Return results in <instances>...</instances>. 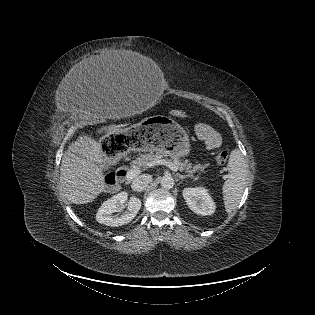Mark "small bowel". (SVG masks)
<instances>
[{
	"instance_id": "small-bowel-1",
	"label": "small bowel",
	"mask_w": 315,
	"mask_h": 315,
	"mask_svg": "<svg viewBox=\"0 0 315 315\" xmlns=\"http://www.w3.org/2000/svg\"><path fill=\"white\" fill-rule=\"evenodd\" d=\"M195 131L208 149L220 147L221 137L211 126L201 123L196 126Z\"/></svg>"
}]
</instances>
